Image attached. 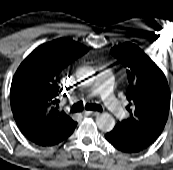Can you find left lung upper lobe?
Segmentation results:
<instances>
[{
  "label": "left lung upper lobe",
  "mask_w": 173,
  "mask_h": 170,
  "mask_svg": "<svg viewBox=\"0 0 173 170\" xmlns=\"http://www.w3.org/2000/svg\"><path fill=\"white\" fill-rule=\"evenodd\" d=\"M126 68L129 118L118 122L115 130L135 142L150 146L162 133L170 108V89L164 73L136 45L124 43L111 49Z\"/></svg>",
  "instance_id": "obj_1"
}]
</instances>
